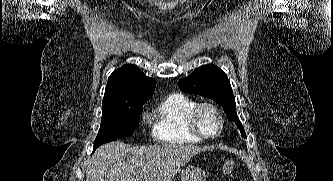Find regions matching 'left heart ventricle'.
<instances>
[{
	"mask_svg": "<svg viewBox=\"0 0 333 181\" xmlns=\"http://www.w3.org/2000/svg\"><path fill=\"white\" fill-rule=\"evenodd\" d=\"M199 126L205 134L213 135L218 130L219 121L212 111L204 110L199 116Z\"/></svg>",
	"mask_w": 333,
	"mask_h": 181,
	"instance_id": "left-heart-ventricle-1",
	"label": "left heart ventricle"
}]
</instances>
